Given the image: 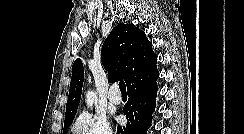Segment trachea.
Listing matches in <instances>:
<instances>
[{
  "label": "trachea",
  "mask_w": 244,
  "mask_h": 134,
  "mask_svg": "<svg viewBox=\"0 0 244 134\" xmlns=\"http://www.w3.org/2000/svg\"><path fill=\"white\" fill-rule=\"evenodd\" d=\"M119 88H120V91H121L122 94H126L127 93L126 92V85H125V82L124 81H121L119 83Z\"/></svg>",
  "instance_id": "trachea-1"
}]
</instances>
